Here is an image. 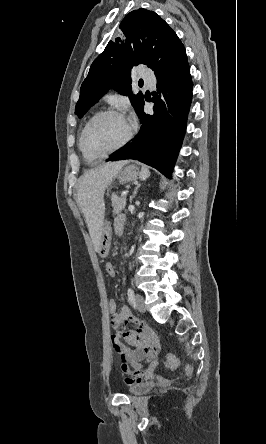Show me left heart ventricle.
<instances>
[{
    "mask_svg": "<svg viewBox=\"0 0 266 444\" xmlns=\"http://www.w3.org/2000/svg\"><path fill=\"white\" fill-rule=\"evenodd\" d=\"M128 123L122 117L107 115L97 119L85 135V145L93 153L117 146L126 136Z\"/></svg>",
    "mask_w": 266,
    "mask_h": 444,
    "instance_id": "1",
    "label": "left heart ventricle"
}]
</instances>
